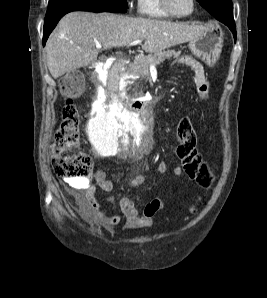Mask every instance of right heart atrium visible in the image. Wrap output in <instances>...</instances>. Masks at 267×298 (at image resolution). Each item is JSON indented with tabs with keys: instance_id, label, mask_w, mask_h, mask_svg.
<instances>
[{
	"instance_id": "right-heart-atrium-1",
	"label": "right heart atrium",
	"mask_w": 267,
	"mask_h": 298,
	"mask_svg": "<svg viewBox=\"0 0 267 298\" xmlns=\"http://www.w3.org/2000/svg\"><path fill=\"white\" fill-rule=\"evenodd\" d=\"M129 9H132V2H129Z\"/></svg>"
}]
</instances>
